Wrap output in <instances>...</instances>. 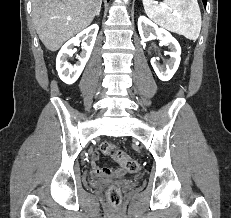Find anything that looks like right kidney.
Here are the masks:
<instances>
[{"label":"right kidney","mask_w":231,"mask_h":218,"mask_svg":"<svg viewBox=\"0 0 231 218\" xmlns=\"http://www.w3.org/2000/svg\"><path fill=\"white\" fill-rule=\"evenodd\" d=\"M98 30L99 26L97 24L91 25L66 42L59 51L56 58V69L60 79L66 84H73L81 75L92 52ZM81 38H83L82 52L80 56H77L78 62L71 65L67 59L74 54L73 48L79 46Z\"/></svg>","instance_id":"obj_1"}]
</instances>
